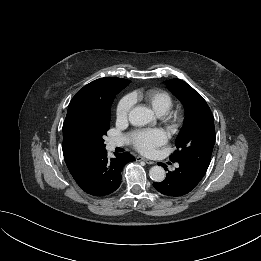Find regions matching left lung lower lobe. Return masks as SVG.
I'll use <instances>...</instances> for the list:
<instances>
[{
  "instance_id": "left-lung-lower-lobe-1",
  "label": "left lung lower lobe",
  "mask_w": 261,
  "mask_h": 261,
  "mask_svg": "<svg viewBox=\"0 0 261 261\" xmlns=\"http://www.w3.org/2000/svg\"><path fill=\"white\" fill-rule=\"evenodd\" d=\"M179 166L172 172H168L164 181L153 183V186L161 194L180 197L191 192L202 180V176L197 174L190 166L185 163L178 162ZM159 165H166L159 163Z\"/></svg>"
}]
</instances>
